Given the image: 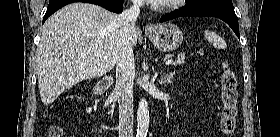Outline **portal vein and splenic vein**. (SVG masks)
I'll return each instance as SVG.
<instances>
[{
  "mask_svg": "<svg viewBox=\"0 0 280 137\" xmlns=\"http://www.w3.org/2000/svg\"><path fill=\"white\" fill-rule=\"evenodd\" d=\"M173 62V60H167L166 61V65H169V64H171Z\"/></svg>",
  "mask_w": 280,
  "mask_h": 137,
  "instance_id": "18ae733b",
  "label": "portal vein and splenic vein"
}]
</instances>
